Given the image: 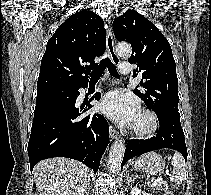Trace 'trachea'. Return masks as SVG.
I'll return each instance as SVG.
<instances>
[{
	"mask_svg": "<svg viewBox=\"0 0 211 195\" xmlns=\"http://www.w3.org/2000/svg\"><path fill=\"white\" fill-rule=\"evenodd\" d=\"M106 68H108V71L111 74V76H113L115 78H119V74L117 72L116 67L111 62V60L108 57H106V58L102 59L99 66L91 72V74H90L91 79L90 80L91 81L98 80L102 76L103 71Z\"/></svg>",
	"mask_w": 211,
	"mask_h": 195,
	"instance_id": "trachea-1",
	"label": "trachea"
}]
</instances>
